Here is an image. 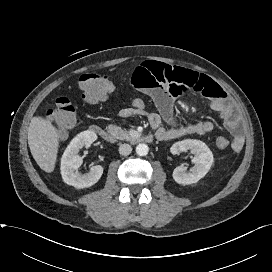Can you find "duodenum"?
<instances>
[{"label":"duodenum","instance_id":"410a0bca","mask_svg":"<svg viewBox=\"0 0 272 272\" xmlns=\"http://www.w3.org/2000/svg\"><path fill=\"white\" fill-rule=\"evenodd\" d=\"M90 130L107 142L115 141V136L101 126L92 125ZM154 138H156V136L153 134H140L138 136L132 137L130 140L133 143H151Z\"/></svg>","mask_w":272,"mask_h":272}]
</instances>
